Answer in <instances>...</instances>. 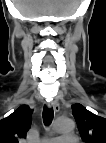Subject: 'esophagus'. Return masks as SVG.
Returning a JSON list of instances; mask_svg holds the SVG:
<instances>
[{"label": "esophagus", "mask_w": 106, "mask_h": 143, "mask_svg": "<svg viewBox=\"0 0 106 143\" xmlns=\"http://www.w3.org/2000/svg\"><path fill=\"white\" fill-rule=\"evenodd\" d=\"M48 107H52L55 113H58L60 111V105L56 100L49 102Z\"/></svg>", "instance_id": "1"}]
</instances>
